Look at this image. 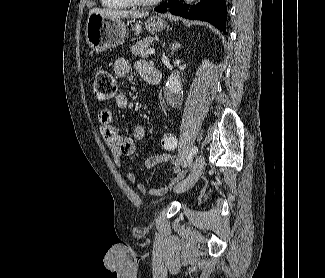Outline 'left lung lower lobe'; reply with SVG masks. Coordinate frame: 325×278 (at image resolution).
I'll use <instances>...</instances> for the list:
<instances>
[{
  "mask_svg": "<svg viewBox=\"0 0 325 278\" xmlns=\"http://www.w3.org/2000/svg\"><path fill=\"white\" fill-rule=\"evenodd\" d=\"M183 0H169L155 8L157 12H166L188 19L204 20L212 23L223 33H226V4L225 0H201L197 5L187 7Z\"/></svg>",
  "mask_w": 325,
  "mask_h": 278,
  "instance_id": "1",
  "label": "left lung lower lobe"
}]
</instances>
